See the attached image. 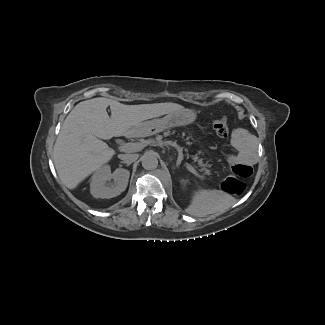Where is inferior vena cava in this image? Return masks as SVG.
Listing matches in <instances>:
<instances>
[{
	"mask_svg": "<svg viewBox=\"0 0 325 325\" xmlns=\"http://www.w3.org/2000/svg\"><path fill=\"white\" fill-rule=\"evenodd\" d=\"M118 158L126 163H133L138 159V154H120Z\"/></svg>",
	"mask_w": 325,
	"mask_h": 325,
	"instance_id": "inferior-vena-cava-1",
	"label": "inferior vena cava"
}]
</instances>
